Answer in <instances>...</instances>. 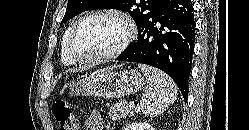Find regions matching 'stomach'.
<instances>
[{"mask_svg":"<svg viewBox=\"0 0 249 130\" xmlns=\"http://www.w3.org/2000/svg\"><path fill=\"white\" fill-rule=\"evenodd\" d=\"M144 77L135 70H100L70 85V96L121 98L139 92Z\"/></svg>","mask_w":249,"mask_h":130,"instance_id":"obj_1","label":"stomach"}]
</instances>
